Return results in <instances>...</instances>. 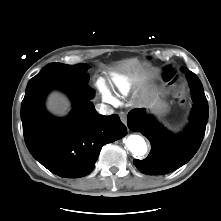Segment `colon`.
Segmentation results:
<instances>
[{"mask_svg":"<svg viewBox=\"0 0 221 221\" xmlns=\"http://www.w3.org/2000/svg\"><path fill=\"white\" fill-rule=\"evenodd\" d=\"M165 76L170 80V81H172V80H174V78H175V75H174V73L173 72H165ZM181 103H185V99H181Z\"/></svg>","mask_w":221,"mask_h":221,"instance_id":"1","label":"colon"}]
</instances>
